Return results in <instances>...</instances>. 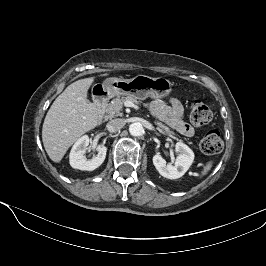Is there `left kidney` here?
Listing matches in <instances>:
<instances>
[{"label": "left kidney", "mask_w": 266, "mask_h": 266, "mask_svg": "<svg viewBox=\"0 0 266 266\" xmlns=\"http://www.w3.org/2000/svg\"><path fill=\"white\" fill-rule=\"evenodd\" d=\"M175 151L178 153V156L174 165L166 164V161L160 154L153 156V164L155 168L160 175L168 179H177L182 177L190 168L194 160L193 151L182 142L176 143Z\"/></svg>", "instance_id": "left-kidney-1"}]
</instances>
